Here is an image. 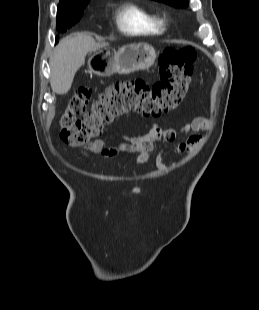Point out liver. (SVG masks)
Returning a JSON list of instances; mask_svg holds the SVG:
<instances>
[{
    "label": "liver",
    "instance_id": "6515ba94",
    "mask_svg": "<svg viewBox=\"0 0 259 310\" xmlns=\"http://www.w3.org/2000/svg\"><path fill=\"white\" fill-rule=\"evenodd\" d=\"M108 46L107 43H97L85 33H76L63 38L50 58V84L56 94H66L72 85L78 69L84 65L88 52Z\"/></svg>",
    "mask_w": 259,
    "mask_h": 310
}]
</instances>
